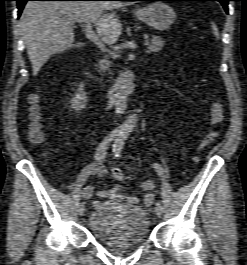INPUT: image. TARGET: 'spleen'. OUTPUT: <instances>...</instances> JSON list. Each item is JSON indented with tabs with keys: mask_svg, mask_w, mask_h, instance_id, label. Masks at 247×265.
<instances>
[{
	"mask_svg": "<svg viewBox=\"0 0 247 265\" xmlns=\"http://www.w3.org/2000/svg\"><path fill=\"white\" fill-rule=\"evenodd\" d=\"M212 30H213V34L215 35V37L217 39H219V33H218V30H217V26L215 25V23H212Z\"/></svg>",
	"mask_w": 247,
	"mask_h": 265,
	"instance_id": "obj_1",
	"label": "spleen"
}]
</instances>
